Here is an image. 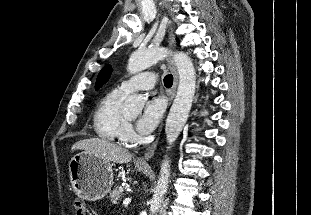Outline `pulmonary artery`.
I'll list each match as a JSON object with an SVG mask.
<instances>
[{
	"instance_id": "pulmonary-artery-1",
	"label": "pulmonary artery",
	"mask_w": 311,
	"mask_h": 215,
	"mask_svg": "<svg viewBox=\"0 0 311 215\" xmlns=\"http://www.w3.org/2000/svg\"><path fill=\"white\" fill-rule=\"evenodd\" d=\"M156 80L154 73L142 72L123 81L118 89L126 94L137 90H149L155 86Z\"/></svg>"
}]
</instances>
